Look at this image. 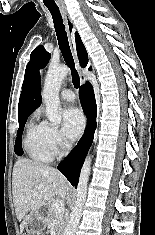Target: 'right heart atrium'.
<instances>
[{
	"label": "right heart atrium",
	"mask_w": 155,
	"mask_h": 235,
	"mask_svg": "<svg viewBox=\"0 0 155 235\" xmlns=\"http://www.w3.org/2000/svg\"><path fill=\"white\" fill-rule=\"evenodd\" d=\"M42 127L45 142L53 154H59L63 152L66 149V143L60 131L56 127L46 122L42 123Z\"/></svg>",
	"instance_id": "right-heart-atrium-1"
}]
</instances>
